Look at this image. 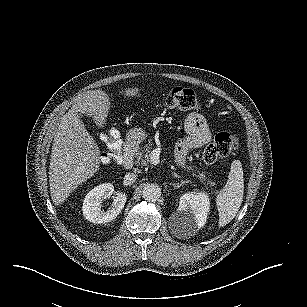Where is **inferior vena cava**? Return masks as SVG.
Returning <instances> with one entry per match:
<instances>
[{
    "label": "inferior vena cava",
    "mask_w": 307,
    "mask_h": 307,
    "mask_svg": "<svg viewBox=\"0 0 307 307\" xmlns=\"http://www.w3.org/2000/svg\"><path fill=\"white\" fill-rule=\"evenodd\" d=\"M138 175L136 173H126L124 176V184L126 186L132 185L137 180Z\"/></svg>",
    "instance_id": "1"
}]
</instances>
